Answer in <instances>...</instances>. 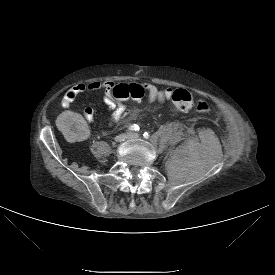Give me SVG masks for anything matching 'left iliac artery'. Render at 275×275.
I'll use <instances>...</instances> for the list:
<instances>
[{"instance_id":"obj_1","label":"left iliac artery","mask_w":275,"mask_h":275,"mask_svg":"<svg viewBox=\"0 0 275 275\" xmlns=\"http://www.w3.org/2000/svg\"><path fill=\"white\" fill-rule=\"evenodd\" d=\"M143 136H144L145 139H148L150 135H149L147 132H145V133L143 134Z\"/></svg>"}]
</instances>
